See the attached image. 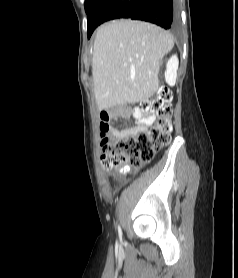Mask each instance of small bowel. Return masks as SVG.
Segmentation results:
<instances>
[{
	"instance_id": "1",
	"label": "small bowel",
	"mask_w": 238,
	"mask_h": 278,
	"mask_svg": "<svg viewBox=\"0 0 238 278\" xmlns=\"http://www.w3.org/2000/svg\"><path fill=\"white\" fill-rule=\"evenodd\" d=\"M132 117L136 119V125L128 129L130 131L137 130V129H143L146 128L148 125L152 124L155 120V116L151 113H144L141 109L135 108L132 112ZM115 118V115L110 113L109 111H102L100 114V123L105 122L109 125L108 131H106L102 136L103 140L106 139L107 134L114 135L116 133L126 131V130H120L117 127L111 125V120Z\"/></svg>"
}]
</instances>
